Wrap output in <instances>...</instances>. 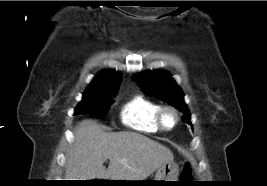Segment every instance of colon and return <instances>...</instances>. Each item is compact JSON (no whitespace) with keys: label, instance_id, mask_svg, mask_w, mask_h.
<instances>
[{"label":"colon","instance_id":"1","mask_svg":"<svg viewBox=\"0 0 267 186\" xmlns=\"http://www.w3.org/2000/svg\"><path fill=\"white\" fill-rule=\"evenodd\" d=\"M180 178L183 181H188L192 178V167L190 163H186L181 171Z\"/></svg>","mask_w":267,"mask_h":186}]
</instances>
